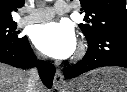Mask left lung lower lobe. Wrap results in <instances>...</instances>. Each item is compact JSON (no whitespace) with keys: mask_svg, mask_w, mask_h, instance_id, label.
<instances>
[{"mask_svg":"<svg viewBox=\"0 0 127 92\" xmlns=\"http://www.w3.org/2000/svg\"><path fill=\"white\" fill-rule=\"evenodd\" d=\"M103 66L127 68V32L103 31L88 41L87 53L75 65L64 69L66 79Z\"/></svg>","mask_w":127,"mask_h":92,"instance_id":"left-lung-lower-lobe-1","label":"left lung lower lobe"}]
</instances>
